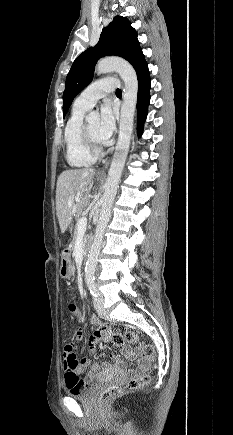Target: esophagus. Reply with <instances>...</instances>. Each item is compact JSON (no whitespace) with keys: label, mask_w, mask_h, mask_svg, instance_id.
<instances>
[{"label":"esophagus","mask_w":233,"mask_h":435,"mask_svg":"<svg viewBox=\"0 0 233 435\" xmlns=\"http://www.w3.org/2000/svg\"><path fill=\"white\" fill-rule=\"evenodd\" d=\"M108 165H109V162H107L102 168H100L97 172L98 175L104 176Z\"/></svg>","instance_id":"34e87169"}]
</instances>
